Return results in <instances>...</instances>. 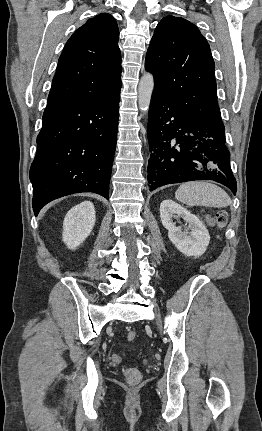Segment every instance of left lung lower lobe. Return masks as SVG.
Here are the masks:
<instances>
[{"instance_id":"1","label":"left lung lower lobe","mask_w":262,"mask_h":431,"mask_svg":"<svg viewBox=\"0 0 262 431\" xmlns=\"http://www.w3.org/2000/svg\"><path fill=\"white\" fill-rule=\"evenodd\" d=\"M149 190L173 183L213 180L236 194L224 126L207 128L154 90L148 117Z\"/></svg>"}]
</instances>
